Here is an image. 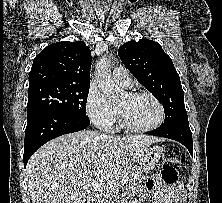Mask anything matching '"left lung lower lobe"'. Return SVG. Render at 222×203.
<instances>
[{"label": "left lung lower lobe", "mask_w": 222, "mask_h": 203, "mask_svg": "<svg viewBox=\"0 0 222 203\" xmlns=\"http://www.w3.org/2000/svg\"><path fill=\"white\" fill-rule=\"evenodd\" d=\"M145 134L176 140L181 144H183L188 149L190 154L193 156V141H192V133L189 128V123L177 122V123L162 125L161 127L146 132Z\"/></svg>", "instance_id": "0a47b994"}]
</instances>
